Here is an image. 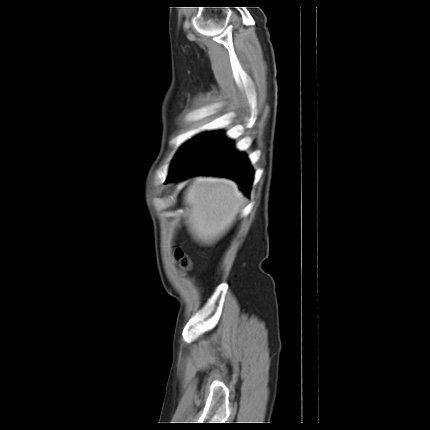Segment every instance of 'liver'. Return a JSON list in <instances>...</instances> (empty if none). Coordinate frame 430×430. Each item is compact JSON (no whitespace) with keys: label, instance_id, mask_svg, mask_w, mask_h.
Masks as SVG:
<instances>
[{"label":"liver","instance_id":"liver-1","mask_svg":"<svg viewBox=\"0 0 430 430\" xmlns=\"http://www.w3.org/2000/svg\"><path fill=\"white\" fill-rule=\"evenodd\" d=\"M244 200L232 180L197 178L185 198L190 207L187 224L191 233L202 243H212L232 226Z\"/></svg>","mask_w":430,"mask_h":430}]
</instances>
